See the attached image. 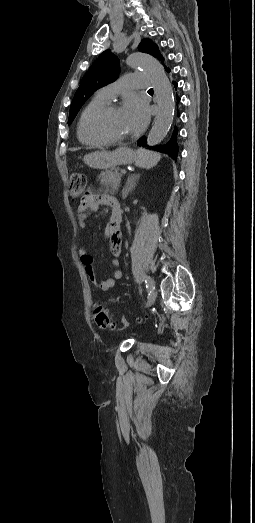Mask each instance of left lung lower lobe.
<instances>
[{
	"mask_svg": "<svg viewBox=\"0 0 255 523\" xmlns=\"http://www.w3.org/2000/svg\"><path fill=\"white\" fill-rule=\"evenodd\" d=\"M173 88H178V82L177 80H172ZM177 103H180V97H177ZM178 119H181V116H178ZM172 134L177 135L179 134V129H177V125H174V129H172ZM148 140V137H141L137 141V144L141 149H144L146 147V141ZM178 141L177 137H169V140H166L165 147H160L162 145V142L160 140H157L155 142V145L159 147L157 149V152L159 154H165L169 153L170 161L177 162L179 160V153H178Z\"/></svg>",
	"mask_w": 255,
	"mask_h": 523,
	"instance_id": "obj_1",
	"label": "left lung lower lobe"
}]
</instances>
